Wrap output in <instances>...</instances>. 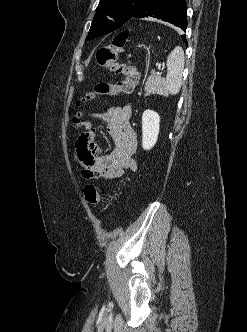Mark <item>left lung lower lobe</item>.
Listing matches in <instances>:
<instances>
[{
    "label": "left lung lower lobe",
    "instance_id": "left-lung-lower-lobe-1",
    "mask_svg": "<svg viewBox=\"0 0 247 332\" xmlns=\"http://www.w3.org/2000/svg\"><path fill=\"white\" fill-rule=\"evenodd\" d=\"M153 17L167 21L186 31L187 5L186 0H146L132 18ZM183 41L188 45L185 35Z\"/></svg>",
    "mask_w": 247,
    "mask_h": 332
}]
</instances>
